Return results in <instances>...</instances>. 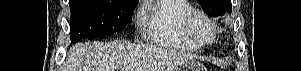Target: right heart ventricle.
<instances>
[{"label":"right heart ventricle","mask_w":301,"mask_h":71,"mask_svg":"<svg viewBox=\"0 0 301 71\" xmlns=\"http://www.w3.org/2000/svg\"><path fill=\"white\" fill-rule=\"evenodd\" d=\"M192 9L186 0H157L145 8L142 30L153 44L181 52H194L199 47L184 33L182 17Z\"/></svg>","instance_id":"e07e8e85"}]
</instances>
